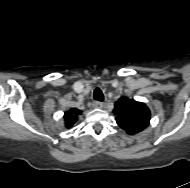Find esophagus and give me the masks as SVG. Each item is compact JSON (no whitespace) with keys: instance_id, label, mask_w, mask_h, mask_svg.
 I'll use <instances>...</instances> for the list:
<instances>
[{"instance_id":"34e87169","label":"esophagus","mask_w":190,"mask_h":188,"mask_svg":"<svg viewBox=\"0 0 190 188\" xmlns=\"http://www.w3.org/2000/svg\"><path fill=\"white\" fill-rule=\"evenodd\" d=\"M103 106H104V103L99 102V101H94V102L92 103V107H93V108L101 109V108H103Z\"/></svg>"}]
</instances>
